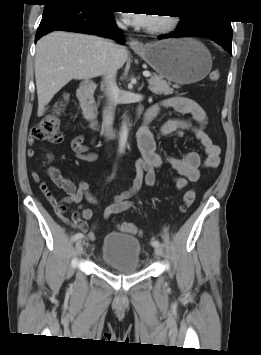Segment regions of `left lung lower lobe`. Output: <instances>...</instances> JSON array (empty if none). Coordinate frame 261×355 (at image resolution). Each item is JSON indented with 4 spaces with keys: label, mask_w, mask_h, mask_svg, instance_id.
I'll return each mask as SVG.
<instances>
[{
    "label": "left lung lower lobe",
    "mask_w": 261,
    "mask_h": 355,
    "mask_svg": "<svg viewBox=\"0 0 261 355\" xmlns=\"http://www.w3.org/2000/svg\"><path fill=\"white\" fill-rule=\"evenodd\" d=\"M174 37H204L223 46L232 54V28L229 20L216 18H198L196 22L181 20L172 34L160 35L159 39Z\"/></svg>",
    "instance_id": "obj_1"
}]
</instances>
